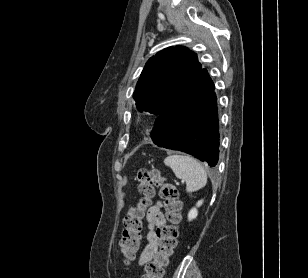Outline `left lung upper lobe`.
I'll return each mask as SVG.
<instances>
[{
  "instance_id": "left-lung-upper-lobe-1",
  "label": "left lung upper lobe",
  "mask_w": 308,
  "mask_h": 278,
  "mask_svg": "<svg viewBox=\"0 0 308 278\" xmlns=\"http://www.w3.org/2000/svg\"><path fill=\"white\" fill-rule=\"evenodd\" d=\"M197 55L183 46L169 47L146 63L133 98L139 111L159 115L172 98L199 71Z\"/></svg>"
}]
</instances>
